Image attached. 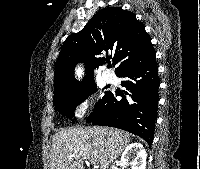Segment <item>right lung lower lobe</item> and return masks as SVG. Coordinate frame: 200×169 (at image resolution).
I'll list each match as a JSON object with an SVG mask.
<instances>
[{
    "label": "right lung lower lobe",
    "instance_id": "98d812e1",
    "mask_svg": "<svg viewBox=\"0 0 200 169\" xmlns=\"http://www.w3.org/2000/svg\"><path fill=\"white\" fill-rule=\"evenodd\" d=\"M122 100L108 91L87 119L96 125L116 127L136 134L152 144L158 109L159 77L155 56L123 69Z\"/></svg>",
    "mask_w": 200,
    "mask_h": 169
}]
</instances>
